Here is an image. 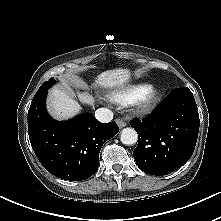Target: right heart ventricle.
Instances as JSON below:
<instances>
[{
	"instance_id": "1",
	"label": "right heart ventricle",
	"mask_w": 221,
	"mask_h": 221,
	"mask_svg": "<svg viewBox=\"0 0 221 221\" xmlns=\"http://www.w3.org/2000/svg\"><path fill=\"white\" fill-rule=\"evenodd\" d=\"M147 88V85L142 84L125 86L112 90L107 97L115 104L128 106L133 104Z\"/></svg>"
}]
</instances>
